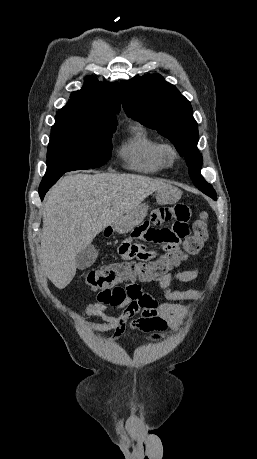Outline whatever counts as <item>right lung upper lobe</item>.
<instances>
[{
    "label": "right lung upper lobe",
    "mask_w": 257,
    "mask_h": 459,
    "mask_svg": "<svg viewBox=\"0 0 257 459\" xmlns=\"http://www.w3.org/2000/svg\"><path fill=\"white\" fill-rule=\"evenodd\" d=\"M70 99L57 112L56 119L98 127H116L115 113L120 110L117 83H102L93 76H87L82 89L73 92Z\"/></svg>",
    "instance_id": "1"
}]
</instances>
